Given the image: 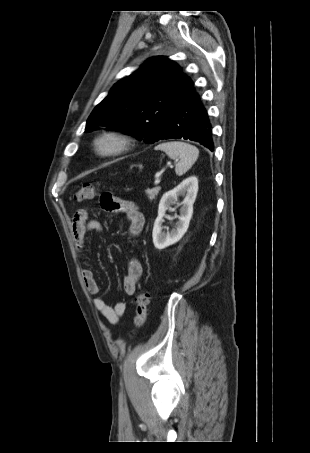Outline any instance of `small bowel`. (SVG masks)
Wrapping results in <instances>:
<instances>
[{"label": "small bowel", "instance_id": "small-bowel-1", "mask_svg": "<svg viewBox=\"0 0 310 453\" xmlns=\"http://www.w3.org/2000/svg\"><path fill=\"white\" fill-rule=\"evenodd\" d=\"M111 212H121L125 214L128 222V233L131 241L141 233L145 224V217L142 211L130 201L114 198L113 206L108 209ZM91 210L89 208L79 209L72 219V234L75 245L81 257L86 258V235L89 231H101L102 226L98 221L90 220ZM142 263L135 257L128 260L127 274L123 280V288L127 295H134L137 290L138 281L142 275ZM82 278L86 289L92 295H97L100 291V286L90 269L82 270ZM95 309L110 323L116 324L119 319L125 314L126 304L117 302L113 307L108 305L106 301L100 297H95L93 300Z\"/></svg>", "mask_w": 310, "mask_h": 453}]
</instances>
